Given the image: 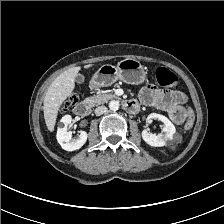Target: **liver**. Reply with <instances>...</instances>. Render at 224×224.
Segmentation results:
<instances>
[{"mask_svg": "<svg viewBox=\"0 0 224 224\" xmlns=\"http://www.w3.org/2000/svg\"><path fill=\"white\" fill-rule=\"evenodd\" d=\"M92 64L85 65L84 68L88 69ZM81 67H73L61 73L52 82L46 96L44 98V119L46 126L50 132L54 131L57 114L62 103L71 96L75 88V77L80 71Z\"/></svg>", "mask_w": 224, "mask_h": 224, "instance_id": "1", "label": "liver"}]
</instances>
